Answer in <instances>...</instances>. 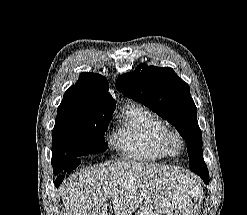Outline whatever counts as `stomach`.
Wrapping results in <instances>:
<instances>
[{"mask_svg": "<svg viewBox=\"0 0 247 215\" xmlns=\"http://www.w3.org/2000/svg\"><path fill=\"white\" fill-rule=\"evenodd\" d=\"M202 199L198 181L185 175L173 176L155 189L136 215H198Z\"/></svg>", "mask_w": 247, "mask_h": 215, "instance_id": "obj_1", "label": "stomach"}]
</instances>
